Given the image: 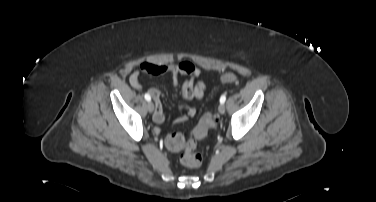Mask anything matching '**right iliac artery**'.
Segmentation results:
<instances>
[{"label":"right iliac artery","mask_w":376,"mask_h":202,"mask_svg":"<svg viewBox=\"0 0 376 202\" xmlns=\"http://www.w3.org/2000/svg\"><path fill=\"white\" fill-rule=\"evenodd\" d=\"M144 97H145V100L146 101H151V97H150V95L148 94V93H146L145 95H144Z\"/></svg>","instance_id":"82829eb1"}]
</instances>
